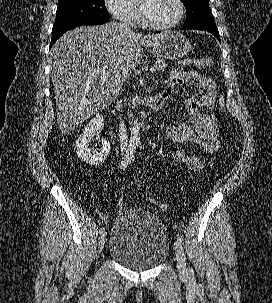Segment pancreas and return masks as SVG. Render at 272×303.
<instances>
[{"mask_svg":"<svg viewBox=\"0 0 272 303\" xmlns=\"http://www.w3.org/2000/svg\"><path fill=\"white\" fill-rule=\"evenodd\" d=\"M166 67H167V63H165L163 59H158L154 65V68L157 71H164Z\"/></svg>","mask_w":272,"mask_h":303,"instance_id":"cf45deb5","label":"pancreas"}]
</instances>
